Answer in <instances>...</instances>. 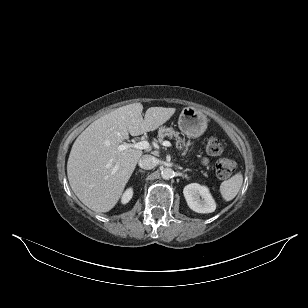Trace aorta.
<instances>
[{
	"instance_id": "762f6f07",
	"label": "aorta",
	"mask_w": 308,
	"mask_h": 308,
	"mask_svg": "<svg viewBox=\"0 0 308 308\" xmlns=\"http://www.w3.org/2000/svg\"><path fill=\"white\" fill-rule=\"evenodd\" d=\"M173 170L171 168H164L161 171V177L165 180H168L173 177Z\"/></svg>"
}]
</instances>
